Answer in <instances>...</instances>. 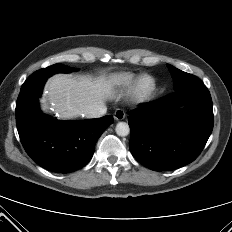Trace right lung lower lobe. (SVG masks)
<instances>
[{
	"mask_svg": "<svg viewBox=\"0 0 232 232\" xmlns=\"http://www.w3.org/2000/svg\"><path fill=\"white\" fill-rule=\"evenodd\" d=\"M45 81L21 88L16 103L18 133L27 154L37 164L50 171L69 173L90 161L96 141L113 123V117L53 120L38 107Z\"/></svg>",
	"mask_w": 232,
	"mask_h": 232,
	"instance_id": "obj_1",
	"label": "right lung lower lobe"
}]
</instances>
